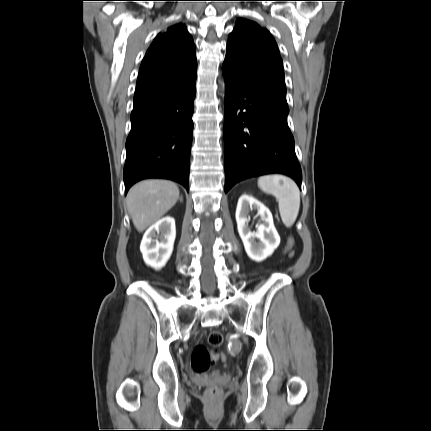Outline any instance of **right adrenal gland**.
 <instances>
[{"instance_id":"1","label":"right adrenal gland","mask_w":431,"mask_h":431,"mask_svg":"<svg viewBox=\"0 0 431 431\" xmlns=\"http://www.w3.org/2000/svg\"><path fill=\"white\" fill-rule=\"evenodd\" d=\"M180 201L183 202V198L182 197H180Z\"/></svg>"}]
</instances>
